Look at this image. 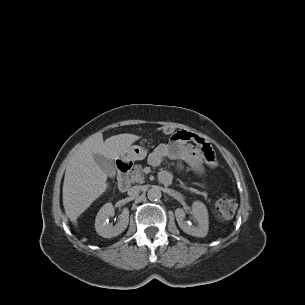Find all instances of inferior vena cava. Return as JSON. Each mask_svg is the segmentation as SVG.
Returning <instances> with one entry per match:
<instances>
[{
	"mask_svg": "<svg viewBox=\"0 0 305 305\" xmlns=\"http://www.w3.org/2000/svg\"><path fill=\"white\" fill-rule=\"evenodd\" d=\"M141 189H142V186L136 185V186L129 188L127 193H128V195H136L141 191Z\"/></svg>",
	"mask_w": 305,
	"mask_h": 305,
	"instance_id": "602c4592",
	"label": "inferior vena cava"
}]
</instances>
